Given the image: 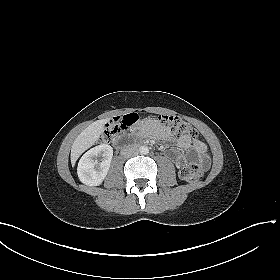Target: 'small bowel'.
<instances>
[{
  "label": "small bowel",
  "mask_w": 280,
  "mask_h": 280,
  "mask_svg": "<svg viewBox=\"0 0 280 280\" xmlns=\"http://www.w3.org/2000/svg\"><path fill=\"white\" fill-rule=\"evenodd\" d=\"M146 124L156 129L157 135L164 138L170 137V133L168 131L159 129L158 125L155 122L147 121ZM178 145L180 148L185 150L193 149L198 156L201 166L204 169H207L209 167L210 157L207 153V145L203 141L197 139L196 137L181 136L178 139ZM187 161L188 157L186 155H181L176 158L175 164L178 168H181L187 163Z\"/></svg>",
  "instance_id": "c3829d8e"
}]
</instances>
